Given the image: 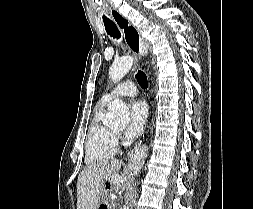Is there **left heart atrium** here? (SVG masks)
<instances>
[{
	"label": "left heart atrium",
	"mask_w": 253,
	"mask_h": 209,
	"mask_svg": "<svg viewBox=\"0 0 253 209\" xmlns=\"http://www.w3.org/2000/svg\"><path fill=\"white\" fill-rule=\"evenodd\" d=\"M148 116L147 105L142 100H136L130 107V121L125 131L128 139L137 137L144 129Z\"/></svg>",
	"instance_id": "39dd6f15"
}]
</instances>
